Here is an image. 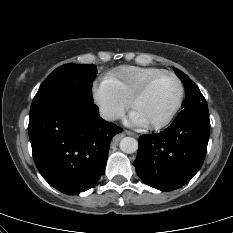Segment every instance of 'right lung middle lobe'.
<instances>
[{"label":"right lung middle lobe","mask_w":233,"mask_h":233,"mask_svg":"<svg viewBox=\"0 0 233 233\" xmlns=\"http://www.w3.org/2000/svg\"><path fill=\"white\" fill-rule=\"evenodd\" d=\"M95 65L65 64L55 69L41 84L30 112L57 105L93 104Z\"/></svg>","instance_id":"1"}]
</instances>
